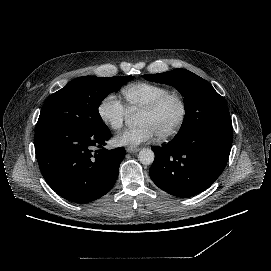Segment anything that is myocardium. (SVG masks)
<instances>
[{
    "label": "myocardium",
    "mask_w": 271,
    "mask_h": 271,
    "mask_svg": "<svg viewBox=\"0 0 271 271\" xmlns=\"http://www.w3.org/2000/svg\"><path fill=\"white\" fill-rule=\"evenodd\" d=\"M172 99L177 100L180 105V110H181L180 116H179L177 122L175 123V125L171 129H169L165 133L157 136V138L159 140H167V139L172 138L173 136H175L177 134V132L183 126V124L186 120V117H187V113H188V106H187V102H186L184 96L179 92L169 91L168 93L164 94L163 96H161L158 99H156L155 101H153L148 106L141 109L139 112V113H145V114L155 113L161 107H163L169 100H172Z\"/></svg>",
    "instance_id": "myocardium-1"
}]
</instances>
